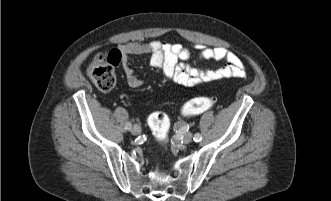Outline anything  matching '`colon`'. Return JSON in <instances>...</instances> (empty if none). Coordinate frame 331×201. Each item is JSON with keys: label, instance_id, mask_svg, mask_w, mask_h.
<instances>
[{"label": "colon", "instance_id": "colon-1", "mask_svg": "<svg viewBox=\"0 0 331 201\" xmlns=\"http://www.w3.org/2000/svg\"><path fill=\"white\" fill-rule=\"evenodd\" d=\"M88 76L93 84L103 92L111 91L115 86L114 62L110 58L98 56L88 69ZM213 97H196L182 107L185 116L208 111L213 108ZM148 124L157 140H164L169 132V119L163 112H154L148 118Z\"/></svg>", "mask_w": 331, "mask_h": 201}]
</instances>
